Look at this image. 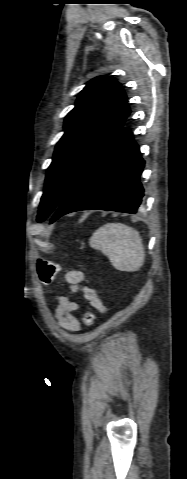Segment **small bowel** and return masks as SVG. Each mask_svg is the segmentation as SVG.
<instances>
[{"label": "small bowel", "instance_id": "c3829d8e", "mask_svg": "<svg viewBox=\"0 0 187 479\" xmlns=\"http://www.w3.org/2000/svg\"><path fill=\"white\" fill-rule=\"evenodd\" d=\"M65 279L73 293H81L98 311H105V305L98 292L94 288L84 285V273L76 270L69 271L66 274ZM55 300L57 306L54 315L59 325L67 331H78L80 324L78 319L74 316V313L79 309V305L66 296L56 295Z\"/></svg>", "mask_w": 187, "mask_h": 479}]
</instances>
